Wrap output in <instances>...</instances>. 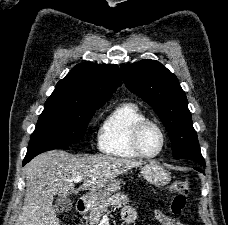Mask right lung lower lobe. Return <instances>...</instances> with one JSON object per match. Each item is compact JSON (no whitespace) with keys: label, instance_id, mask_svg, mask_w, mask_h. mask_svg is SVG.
<instances>
[{"label":"right lung lower lobe","instance_id":"98d812e1","mask_svg":"<svg viewBox=\"0 0 228 225\" xmlns=\"http://www.w3.org/2000/svg\"><path fill=\"white\" fill-rule=\"evenodd\" d=\"M58 148L68 149L67 143H46V144L34 146L32 148H28L26 157L24 158V161H23V165H25L32 158H34L35 156H37L42 152L58 149Z\"/></svg>","mask_w":228,"mask_h":225}]
</instances>
